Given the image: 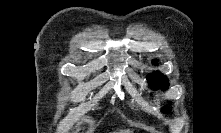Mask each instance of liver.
Returning <instances> with one entry per match:
<instances>
[{
	"instance_id": "6515ba94",
	"label": "liver",
	"mask_w": 221,
	"mask_h": 133,
	"mask_svg": "<svg viewBox=\"0 0 221 133\" xmlns=\"http://www.w3.org/2000/svg\"><path fill=\"white\" fill-rule=\"evenodd\" d=\"M121 133H131V131L130 130H122Z\"/></svg>"
}]
</instances>
